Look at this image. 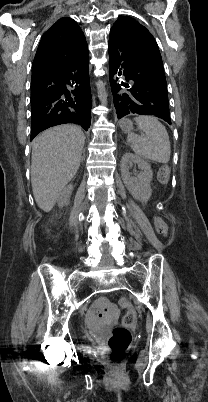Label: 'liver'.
Here are the masks:
<instances>
[{
    "label": "liver",
    "instance_id": "6515ba94",
    "mask_svg": "<svg viewBox=\"0 0 208 402\" xmlns=\"http://www.w3.org/2000/svg\"><path fill=\"white\" fill-rule=\"evenodd\" d=\"M85 136L79 126L62 124L32 142L31 184L38 208L50 212L79 170Z\"/></svg>",
    "mask_w": 208,
    "mask_h": 402
}]
</instances>
